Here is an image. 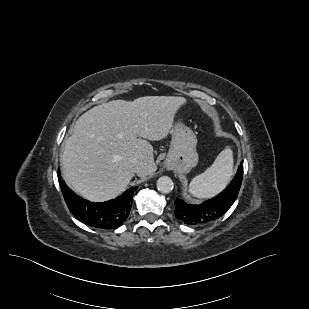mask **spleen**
<instances>
[{
    "label": "spleen",
    "mask_w": 309,
    "mask_h": 309,
    "mask_svg": "<svg viewBox=\"0 0 309 309\" xmlns=\"http://www.w3.org/2000/svg\"><path fill=\"white\" fill-rule=\"evenodd\" d=\"M232 174L233 153L227 147L220 152L209 168L192 179L189 192L198 198H210L225 188Z\"/></svg>",
    "instance_id": "obj_1"
}]
</instances>
